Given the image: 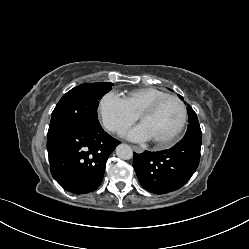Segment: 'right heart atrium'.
Segmentation results:
<instances>
[{
    "label": "right heart atrium",
    "mask_w": 249,
    "mask_h": 249,
    "mask_svg": "<svg viewBox=\"0 0 249 249\" xmlns=\"http://www.w3.org/2000/svg\"><path fill=\"white\" fill-rule=\"evenodd\" d=\"M97 111L104 127L115 134L125 132L137 119L122 98L113 92L101 97Z\"/></svg>",
    "instance_id": "right-heart-atrium-1"
}]
</instances>
